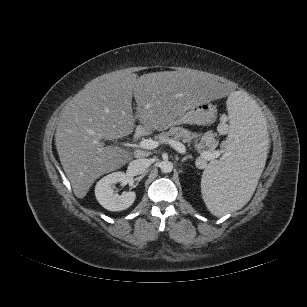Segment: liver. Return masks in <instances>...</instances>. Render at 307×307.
I'll use <instances>...</instances> for the list:
<instances>
[{"label":"liver","mask_w":307,"mask_h":307,"mask_svg":"<svg viewBox=\"0 0 307 307\" xmlns=\"http://www.w3.org/2000/svg\"><path fill=\"white\" fill-rule=\"evenodd\" d=\"M230 93L228 86L188 69L140 77L117 71L95 78L62 109L55 133L60 161L75 196L84 198L96 179L132 159L130 152L105 146L103 139L131 134L135 119L153 130L195 104L217 102Z\"/></svg>","instance_id":"obj_1"}]
</instances>
